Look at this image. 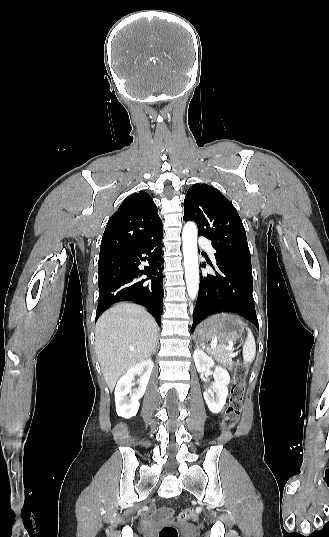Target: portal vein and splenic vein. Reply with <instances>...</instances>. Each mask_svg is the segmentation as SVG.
Wrapping results in <instances>:
<instances>
[{
    "mask_svg": "<svg viewBox=\"0 0 329 537\" xmlns=\"http://www.w3.org/2000/svg\"><path fill=\"white\" fill-rule=\"evenodd\" d=\"M226 350L231 351L233 349V343L229 342V345L225 347ZM235 355V354H232Z\"/></svg>",
    "mask_w": 329,
    "mask_h": 537,
    "instance_id": "18ae733b",
    "label": "portal vein and splenic vein"
}]
</instances>
